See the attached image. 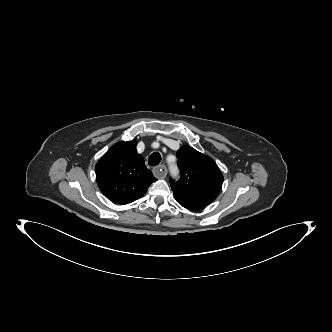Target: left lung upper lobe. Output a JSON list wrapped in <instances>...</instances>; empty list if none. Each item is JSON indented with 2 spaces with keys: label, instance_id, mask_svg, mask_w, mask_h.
Segmentation results:
<instances>
[{
  "label": "left lung upper lobe",
  "instance_id": "1",
  "mask_svg": "<svg viewBox=\"0 0 332 332\" xmlns=\"http://www.w3.org/2000/svg\"><path fill=\"white\" fill-rule=\"evenodd\" d=\"M180 179H170L175 199L189 210H198L209 205L218 196L223 175L215 161L189 146L177 152Z\"/></svg>",
  "mask_w": 332,
  "mask_h": 332
}]
</instances>
